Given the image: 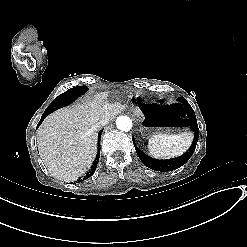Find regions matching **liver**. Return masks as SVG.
<instances>
[{"label": "liver", "instance_id": "1", "mask_svg": "<svg viewBox=\"0 0 247 247\" xmlns=\"http://www.w3.org/2000/svg\"><path fill=\"white\" fill-rule=\"evenodd\" d=\"M123 109L108 92L87 97L86 102L64 107L48 115L37 131L40 157L52 177L76 181L92 165L97 154L96 123L113 120Z\"/></svg>", "mask_w": 247, "mask_h": 247}]
</instances>
